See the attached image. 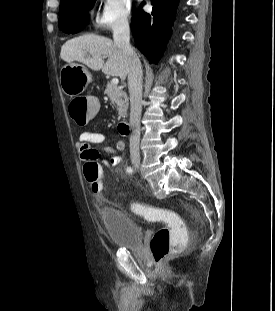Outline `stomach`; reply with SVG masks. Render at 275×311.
<instances>
[{"label": "stomach", "instance_id": "stomach-1", "mask_svg": "<svg viewBox=\"0 0 275 311\" xmlns=\"http://www.w3.org/2000/svg\"><path fill=\"white\" fill-rule=\"evenodd\" d=\"M92 77L89 71L80 64L68 63L60 70V86L68 96L81 94L91 82Z\"/></svg>", "mask_w": 275, "mask_h": 311}]
</instances>
